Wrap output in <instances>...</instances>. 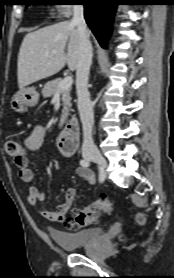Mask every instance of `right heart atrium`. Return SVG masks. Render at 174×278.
<instances>
[{
  "label": "right heart atrium",
  "instance_id": "right-heart-atrium-1",
  "mask_svg": "<svg viewBox=\"0 0 174 278\" xmlns=\"http://www.w3.org/2000/svg\"><path fill=\"white\" fill-rule=\"evenodd\" d=\"M74 8L71 4H61L56 6V15L59 18H64L70 15L72 9Z\"/></svg>",
  "mask_w": 174,
  "mask_h": 278
}]
</instances>
